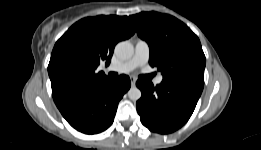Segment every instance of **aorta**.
<instances>
[{"label":"aorta","instance_id":"762f6f07","mask_svg":"<svg viewBox=\"0 0 261 150\" xmlns=\"http://www.w3.org/2000/svg\"><path fill=\"white\" fill-rule=\"evenodd\" d=\"M134 47L129 41L119 42L115 47V54L121 59H129L133 56ZM128 97L137 101L141 98V91L137 87H131L128 91Z\"/></svg>","mask_w":261,"mask_h":150}]
</instances>
